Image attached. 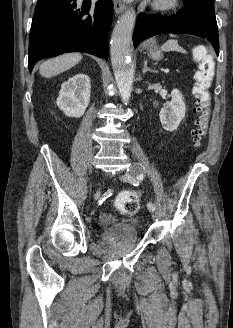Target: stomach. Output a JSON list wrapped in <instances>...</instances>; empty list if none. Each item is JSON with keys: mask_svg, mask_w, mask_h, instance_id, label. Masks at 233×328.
<instances>
[{"mask_svg": "<svg viewBox=\"0 0 233 328\" xmlns=\"http://www.w3.org/2000/svg\"><path fill=\"white\" fill-rule=\"evenodd\" d=\"M148 49H149V55L152 59L159 60L162 58V53L158 49V47L154 41H151L149 43Z\"/></svg>", "mask_w": 233, "mask_h": 328, "instance_id": "1", "label": "stomach"}]
</instances>
